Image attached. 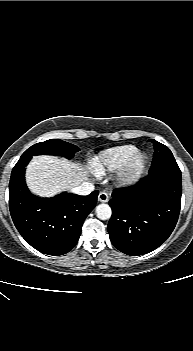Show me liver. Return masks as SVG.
<instances>
[{
    "mask_svg": "<svg viewBox=\"0 0 193 351\" xmlns=\"http://www.w3.org/2000/svg\"><path fill=\"white\" fill-rule=\"evenodd\" d=\"M89 180L86 167L55 156H35L26 169L27 185L40 197H53Z\"/></svg>",
    "mask_w": 193,
    "mask_h": 351,
    "instance_id": "liver-1",
    "label": "liver"
}]
</instances>
